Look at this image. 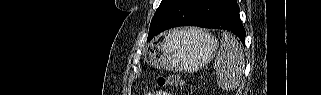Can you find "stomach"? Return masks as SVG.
Here are the masks:
<instances>
[{
	"label": "stomach",
	"mask_w": 321,
	"mask_h": 95,
	"mask_svg": "<svg viewBox=\"0 0 321 95\" xmlns=\"http://www.w3.org/2000/svg\"><path fill=\"white\" fill-rule=\"evenodd\" d=\"M218 41L199 29L185 28L164 34L149 52V63L159 68L194 71L214 57Z\"/></svg>",
	"instance_id": "stomach-1"
}]
</instances>
